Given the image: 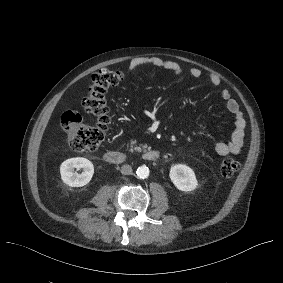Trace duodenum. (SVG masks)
I'll list each match as a JSON object with an SVG mask.
<instances>
[{
  "mask_svg": "<svg viewBox=\"0 0 283 283\" xmlns=\"http://www.w3.org/2000/svg\"><path fill=\"white\" fill-rule=\"evenodd\" d=\"M145 161H157L160 158V153L156 150H149L141 155ZM104 160L111 164H122L129 160V156L121 151H109L105 153Z\"/></svg>",
  "mask_w": 283,
  "mask_h": 283,
  "instance_id": "410a0bca",
  "label": "duodenum"
}]
</instances>
